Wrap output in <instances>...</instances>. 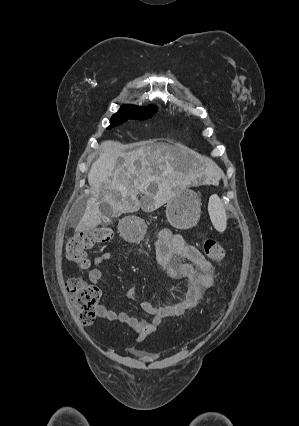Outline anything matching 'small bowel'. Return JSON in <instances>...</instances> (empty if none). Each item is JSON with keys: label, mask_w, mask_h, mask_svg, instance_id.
<instances>
[{"label": "small bowel", "mask_w": 299, "mask_h": 426, "mask_svg": "<svg viewBox=\"0 0 299 426\" xmlns=\"http://www.w3.org/2000/svg\"><path fill=\"white\" fill-rule=\"evenodd\" d=\"M110 258L111 253L108 251L94 258V268L89 272V280L93 285H96L103 276L99 267ZM156 259L172 283L181 280L187 282V291L182 300L162 306L142 301L140 307L152 316L151 321L136 318L127 311L117 313L109 304L96 308L100 318L129 326L137 334L138 343L155 332L164 319L181 316L187 310L194 308L201 301L204 292L214 285L216 277L213 266L203 254L195 246L187 244L182 236L173 234L169 229L161 230L158 235ZM125 296L129 301H138L135 288L128 289ZM133 352L143 359L152 358V355L144 351L134 349Z\"/></svg>", "instance_id": "c3829d8e"}]
</instances>
